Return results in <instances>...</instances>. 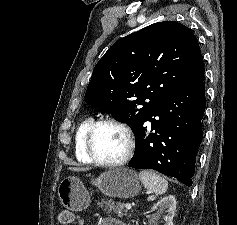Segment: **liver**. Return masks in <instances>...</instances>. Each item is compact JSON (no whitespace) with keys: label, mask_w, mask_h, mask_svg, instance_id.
I'll use <instances>...</instances> for the list:
<instances>
[{"label":"liver","mask_w":237,"mask_h":225,"mask_svg":"<svg viewBox=\"0 0 237 225\" xmlns=\"http://www.w3.org/2000/svg\"><path fill=\"white\" fill-rule=\"evenodd\" d=\"M69 170H71V171H75V172H81V171H87L88 168L70 167Z\"/></svg>","instance_id":"liver-1"}]
</instances>
